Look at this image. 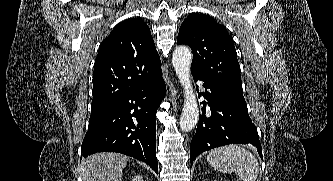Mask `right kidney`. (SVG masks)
Here are the masks:
<instances>
[{"label":"right kidney","instance_id":"1","mask_svg":"<svg viewBox=\"0 0 333 181\" xmlns=\"http://www.w3.org/2000/svg\"><path fill=\"white\" fill-rule=\"evenodd\" d=\"M132 181H143V179H142V176L138 175V176L134 177Z\"/></svg>","mask_w":333,"mask_h":181}]
</instances>
